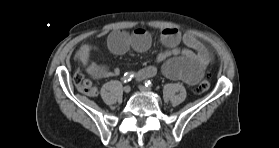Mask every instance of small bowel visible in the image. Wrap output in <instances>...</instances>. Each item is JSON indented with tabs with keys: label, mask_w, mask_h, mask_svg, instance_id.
Segmentation results:
<instances>
[{
	"label": "small bowel",
	"mask_w": 279,
	"mask_h": 148,
	"mask_svg": "<svg viewBox=\"0 0 279 148\" xmlns=\"http://www.w3.org/2000/svg\"><path fill=\"white\" fill-rule=\"evenodd\" d=\"M161 41L167 50L160 53L154 64L140 69L136 73L138 80L151 78L158 69L171 79L195 84L205 69L214 61L213 52L191 33H181L176 28H165L161 32ZM108 47L115 54H123L130 48L137 52H145L151 46V35L139 28L133 32L116 30L108 36ZM185 47L181 48L180 45ZM95 49L93 45H83L77 52V59L82 68L94 79H103L117 75L119 69L106 65L91 63L90 55Z\"/></svg>",
	"instance_id": "obj_1"
}]
</instances>
